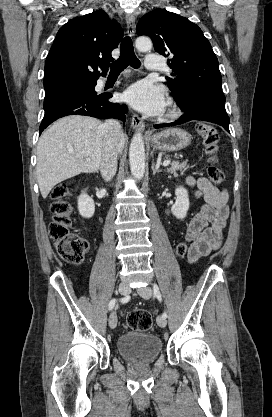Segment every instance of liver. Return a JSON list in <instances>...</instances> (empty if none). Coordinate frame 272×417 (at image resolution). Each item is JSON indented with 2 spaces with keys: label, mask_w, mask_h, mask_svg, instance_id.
<instances>
[{
  "label": "liver",
  "mask_w": 272,
  "mask_h": 417,
  "mask_svg": "<svg viewBox=\"0 0 272 417\" xmlns=\"http://www.w3.org/2000/svg\"><path fill=\"white\" fill-rule=\"evenodd\" d=\"M102 124L92 117L72 115L59 119L43 132L37 145L36 174L44 199L58 183L98 171L104 147ZM124 144L122 135L119 152Z\"/></svg>",
  "instance_id": "6515ba94"
}]
</instances>
